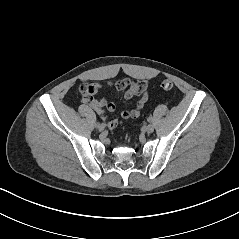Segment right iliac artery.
I'll return each instance as SVG.
<instances>
[{
  "label": "right iliac artery",
  "mask_w": 239,
  "mask_h": 239,
  "mask_svg": "<svg viewBox=\"0 0 239 239\" xmlns=\"http://www.w3.org/2000/svg\"><path fill=\"white\" fill-rule=\"evenodd\" d=\"M99 125H100V123H99V122H97V123L95 124V126H96V127H98Z\"/></svg>",
  "instance_id": "82829eb1"
}]
</instances>
